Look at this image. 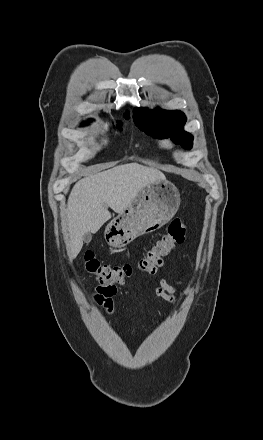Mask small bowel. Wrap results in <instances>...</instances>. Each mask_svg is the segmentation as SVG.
<instances>
[{
	"instance_id": "1",
	"label": "small bowel",
	"mask_w": 263,
	"mask_h": 440,
	"mask_svg": "<svg viewBox=\"0 0 263 440\" xmlns=\"http://www.w3.org/2000/svg\"><path fill=\"white\" fill-rule=\"evenodd\" d=\"M115 294L116 288L99 286L95 289L93 301L97 305H102L111 313L114 307L113 297ZM156 295L167 302H175L177 299V286L169 284L165 279H160L156 288Z\"/></svg>"
}]
</instances>
